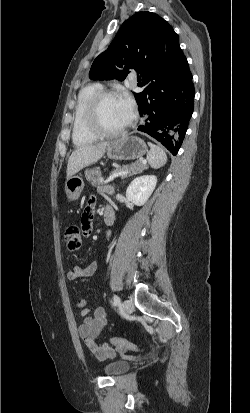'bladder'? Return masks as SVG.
I'll return each instance as SVG.
<instances>
[{"mask_svg": "<svg viewBox=\"0 0 250 413\" xmlns=\"http://www.w3.org/2000/svg\"><path fill=\"white\" fill-rule=\"evenodd\" d=\"M130 369V363L126 360H115L104 367V372L110 376H117L127 372Z\"/></svg>", "mask_w": 250, "mask_h": 413, "instance_id": "bladder-1", "label": "bladder"}]
</instances>
